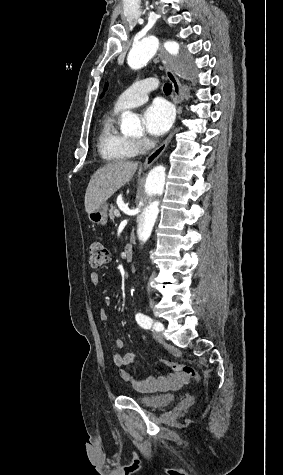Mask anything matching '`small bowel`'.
<instances>
[{
    "label": "small bowel",
    "instance_id": "c3829d8e",
    "mask_svg": "<svg viewBox=\"0 0 283 475\" xmlns=\"http://www.w3.org/2000/svg\"><path fill=\"white\" fill-rule=\"evenodd\" d=\"M89 279H90V283L93 286H98L101 281L100 275L97 272H92L90 274ZM98 316L102 323L104 324L108 323L109 312L106 309L101 308L99 310ZM114 343L118 348H122L124 345L123 340L120 338L115 339ZM135 361H136V356L135 354L131 352H126L123 354L116 353L112 357L113 364L119 368L133 364ZM121 376L123 380H125L126 382H129L135 389H141L147 385H153V384L165 383L172 388H177L185 384L182 377H180L178 374H170L166 376L162 375L158 377L149 376L145 378H139V377L134 376L131 372L127 370H123L121 371Z\"/></svg>",
    "mask_w": 283,
    "mask_h": 475
}]
</instances>
